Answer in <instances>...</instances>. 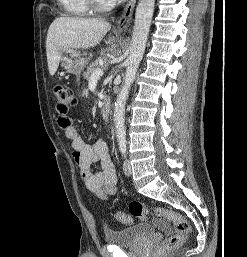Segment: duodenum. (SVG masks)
I'll list each match as a JSON object with an SVG mask.
<instances>
[{"instance_id": "1", "label": "duodenum", "mask_w": 247, "mask_h": 257, "mask_svg": "<svg viewBox=\"0 0 247 257\" xmlns=\"http://www.w3.org/2000/svg\"><path fill=\"white\" fill-rule=\"evenodd\" d=\"M111 114V105L108 101H105L101 107V116L103 119H108Z\"/></svg>"}]
</instances>
